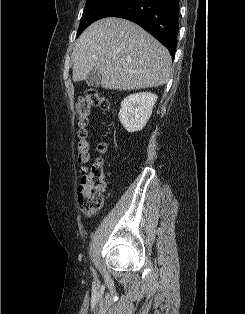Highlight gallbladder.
Here are the masks:
<instances>
[{
	"mask_svg": "<svg viewBox=\"0 0 245 314\" xmlns=\"http://www.w3.org/2000/svg\"><path fill=\"white\" fill-rule=\"evenodd\" d=\"M86 84L88 86H91V87H98L100 85V82H101V74L99 72H97L95 69H92L86 79Z\"/></svg>",
	"mask_w": 245,
	"mask_h": 314,
	"instance_id": "gallbladder-1",
	"label": "gallbladder"
}]
</instances>
